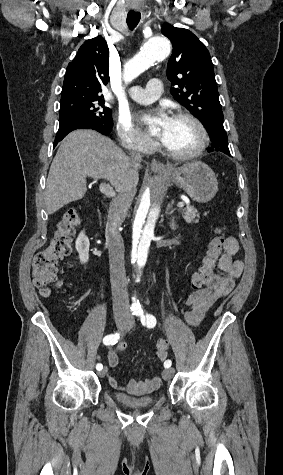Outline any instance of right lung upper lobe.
<instances>
[{
	"mask_svg": "<svg viewBox=\"0 0 283 475\" xmlns=\"http://www.w3.org/2000/svg\"><path fill=\"white\" fill-rule=\"evenodd\" d=\"M109 50L102 36L80 46L66 69L62 94H99L109 81Z\"/></svg>",
	"mask_w": 283,
	"mask_h": 475,
	"instance_id": "1",
	"label": "right lung upper lobe"
}]
</instances>
